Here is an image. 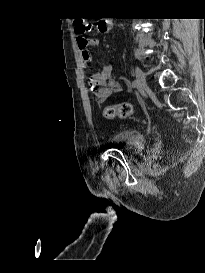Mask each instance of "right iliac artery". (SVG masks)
<instances>
[{
    "label": "right iliac artery",
    "mask_w": 205,
    "mask_h": 273,
    "mask_svg": "<svg viewBox=\"0 0 205 273\" xmlns=\"http://www.w3.org/2000/svg\"><path fill=\"white\" fill-rule=\"evenodd\" d=\"M131 86H132V88H135L136 87V81H133Z\"/></svg>",
    "instance_id": "82829eb1"
}]
</instances>
